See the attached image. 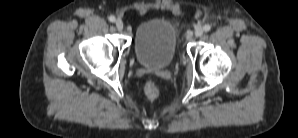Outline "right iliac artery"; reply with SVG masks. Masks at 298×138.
I'll list each match as a JSON object with an SVG mask.
<instances>
[{
  "instance_id": "obj_1",
  "label": "right iliac artery",
  "mask_w": 298,
  "mask_h": 138,
  "mask_svg": "<svg viewBox=\"0 0 298 138\" xmlns=\"http://www.w3.org/2000/svg\"><path fill=\"white\" fill-rule=\"evenodd\" d=\"M108 19H109L110 22H114L116 20L113 15H111Z\"/></svg>"
}]
</instances>
